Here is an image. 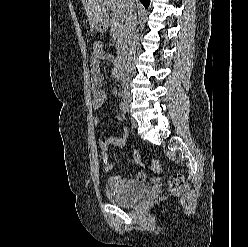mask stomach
<instances>
[{
    "instance_id": "obj_1",
    "label": "stomach",
    "mask_w": 248,
    "mask_h": 247,
    "mask_svg": "<svg viewBox=\"0 0 248 247\" xmlns=\"http://www.w3.org/2000/svg\"><path fill=\"white\" fill-rule=\"evenodd\" d=\"M109 27V20L107 16H103L102 18L99 19L98 23L95 26L96 31L100 33H104Z\"/></svg>"
}]
</instances>
